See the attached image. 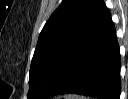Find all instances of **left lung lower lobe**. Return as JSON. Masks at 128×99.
I'll return each instance as SVG.
<instances>
[{
	"label": "left lung lower lobe",
	"mask_w": 128,
	"mask_h": 99,
	"mask_svg": "<svg viewBox=\"0 0 128 99\" xmlns=\"http://www.w3.org/2000/svg\"><path fill=\"white\" fill-rule=\"evenodd\" d=\"M120 68L116 31L107 10L85 43L62 66L46 99L67 93L119 99Z\"/></svg>",
	"instance_id": "1"
}]
</instances>
